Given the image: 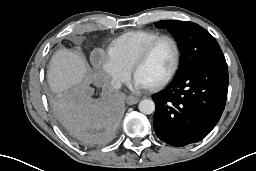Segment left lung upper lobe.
Returning a JSON list of instances; mask_svg holds the SVG:
<instances>
[{"instance_id": "obj_1", "label": "left lung upper lobe", "mask_w": 256, "mask_h": 171, "mask_svg": "<svg viewBox=\"0 0 256 171\" xmlns=\"http://www.w3.org/2000/svg\"><path fill=\"white\" fill-rule=\"evenodd\" d=\"M154 24L157 28H167L178 43L181 61L176 75L199 64L225 62L216 40L198 24L178 20H163Z\"/></svg>"}]
</instances>
